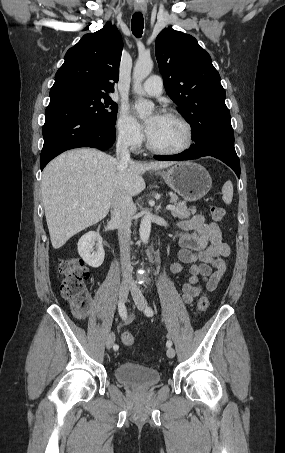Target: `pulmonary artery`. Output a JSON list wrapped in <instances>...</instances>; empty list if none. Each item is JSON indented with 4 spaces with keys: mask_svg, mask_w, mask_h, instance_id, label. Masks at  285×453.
<instances>
[{
    "mask_svg": "<svg viewBox=\"0 0 285 453\" xmlns=\"http://www.w3.org/2000/svg\"><path fill=\"white\" fill-rule=\"evenodd\" d=\"M163 90V82L160 76L152 75L150 76L140 87L139 93L155 97L159 96Z\"/></svg>",
    "mask_w": 285,
    "mask_h": 453,
    "instance_id": "1",
    "label": "pulmonary artery"
}]
</instances>
